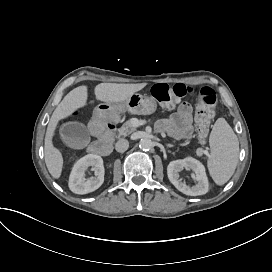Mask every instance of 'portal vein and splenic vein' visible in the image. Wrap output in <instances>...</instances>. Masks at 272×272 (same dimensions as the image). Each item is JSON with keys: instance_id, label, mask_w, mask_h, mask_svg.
Segmentation results:
<instances>
[{"instance_id": "1", "label": "portal vein and splenic vein", "mask_w": 272, "mask_h": 272, "mask_svg": "<svg viewBox=\"0 0 272 272\" xmlns=\"http://www.w3.org/2000/svg\"><path fill=\"white\" fill-rule=\"evenodd\" d=\"M132 123H133V125H134L135 127H138V126H140L141 124H143L144 122H143L142 120H138V119H136V118H133V119H132Z\"/></svg>"}]
</instances>
